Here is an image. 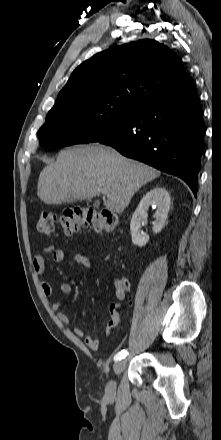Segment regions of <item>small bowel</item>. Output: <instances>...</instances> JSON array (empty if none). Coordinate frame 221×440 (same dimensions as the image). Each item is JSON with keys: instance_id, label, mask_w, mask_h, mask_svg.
<instances>
[{"instance_id": "1", "label": "small bowel", "mask_w": 221, "mask_h": 440, "mask_svg": "<svg viewBox=\"0 0 221 440\" xmlns=\"http://www.w3.org/2000/svg\"><path fill=\"white\" fill-rule=\"evenodd\" d=\"M44 251L46 253H50L52 255V259L54 262L56 263H62L65 260V253L62 249L60 248H55L53 245H47L44 248ZM74 261L83 266L84 268L90 270L92 268V262L91 260L83 255V254H76L74 256ZM32 267L33 270L35 272V274L37 276H41L44 271H45V259L41 254H37L34 256L33 258V262H32ZM40 286L41 289L43 291V293L48 296V297H53L54 295V291L52 286L44 281L41 280L40 281ZM114 287H115V295L116 298L119 301H122L125 299L126 297V290L123 288L122 282L121 281H114ZM73 289H72V285L68 282H63L60 284L59 286V292L62 295H70L72 293ZM60 307H61V303L59 300H56L55 302H53L51 308L54 312H56L57 318L58 320L62 323V324H69L70 319L69 316L60 311ZM120 303L119 302H113L109 305V314H110V319L107 323V327L105 329L104 335L107 337L110 335L111 331L119 324L120 322V315H119V310H120ZM82 314L85 315L86 311L83 310ZM74 334L77 337H83L84 338V343L86 344L87 347H89L91 350H98L100 347V340L98 338H95L91 335H85L84 336V332L80 327H75L73 329Z\"/></svg>"}]
</instances>
